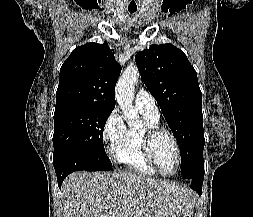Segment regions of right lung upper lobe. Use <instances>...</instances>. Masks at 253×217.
Returning a JSON list of instances; mask_svg holds the SVG:
<instances>
[{
    "instance_id": "1",
    "label": "right lung upper lobe",
    "mask_w": 253,
    "mask_h": 217,
    "mask_svg": "<svg viewBox=\"0 0 253 217\" xmlns=\"http://www.w3.org/2000/svg\"><path fill=\"white\" fill-rule=\"evenodd\" d=\"M120 72L107 43L75 48L60 69L56 106L82 104L113 110Z\"/></svg>"
}]
</instances>
